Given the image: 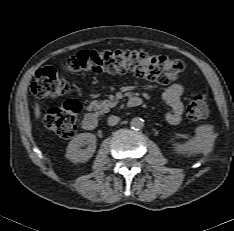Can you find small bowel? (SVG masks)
I'll use <instances>...</instances> for the list:
<instances>
[{
    "label": "small bowel",
    "instance_id": "1",
    "mask_svg": "<svg viewBox=\"0 0 234 231\" xmlns=\"http://www.w3.org/2000/svg\"><path fill=\"white\" fill-rule=\"evenodd\" d=\"M183 86L181 83H173L165 88L163 92V100L169 106L166 118L172 125H177L181 121L184 106L182 103Z\"/></svg>",
    "mask_w": 234,
    "mask_h": 231
}]
</instances>
